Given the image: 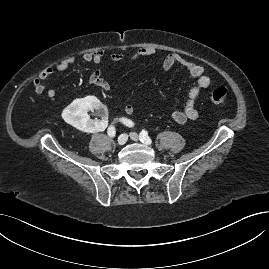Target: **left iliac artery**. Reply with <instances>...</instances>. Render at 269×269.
<instances>
[{"mask_svg": "<svg viewBox=\"0 0 269 269\" xmlns=\"http://www.w3.org/2000/svg\"><path fill=\"white\" fill-rule=\"evenodd\" d=\"M139 139L142 143H145L147 145L151 144L152 142L150 137L148 136L147 131L145 130H142V132L140 133Z\"/></svg>", "mask_w": 269, "mask_h": 269, "instance_id": "44dca946", "label": "left iliac artery"}]
</instances>
